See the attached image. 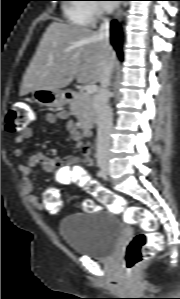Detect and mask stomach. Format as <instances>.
Listing matches in <instances>:
<instances>
[{
	"instance_id": "0dacf381",
	"label": "stomach",
	"mask_w": 180,
	"mask_h": 299,
	"mask_svg": "<svg viewBox=\"0 0 180 299\" xmlns=\"http://www.w3.org/2000/svg\"><path fill=\"white\" fill-rule=\"evenodd\" d=\"M32 95L34 101L41 106L61 107L68 102L66 92L60 89H37Z\"/></svg>"
}]
</instances>
